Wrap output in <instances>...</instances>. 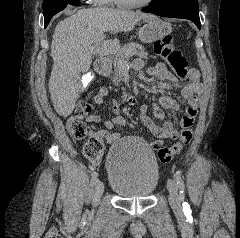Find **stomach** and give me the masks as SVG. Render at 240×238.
I'll return each instance as SVG.
<instances>
[{"instance_id": "obj_1", "label": "stomach", "mask_w": 240, "mask_h": 238, "mask_svg": "<svg viewBox=\"0 0 240 238\" xmlns=\"http://www.w3.org/2000/svg\"><path fill=\"white\" fill-rule=\"evenodd\" d=\"M170 23L159 18L147 21L139 30V38L143 43H153L170 34Z\"/></svg>"}]
</instances>
